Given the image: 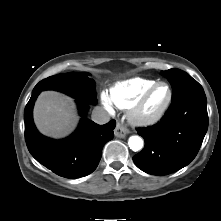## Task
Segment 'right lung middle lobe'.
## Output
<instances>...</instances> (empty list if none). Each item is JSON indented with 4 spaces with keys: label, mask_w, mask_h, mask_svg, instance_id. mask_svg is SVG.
<instances>
[{
    "label": "right lung middle lobe",
    "mask_w": 221,
    "mask_h": 221,
    "mask_svg": "<svg viewBox=\"0 0 221 221\" xmlns=\"http://www.w3.org/2000/svg\"><path fill=\"white\" fill-rule=\"evenodd\" d=\"M88 73L69 72L50 76L40 81L33 91L57 90L66 93L77 100L96 103L95 84Z\"/></svg>",
    "instance_id": "dd1d6c3e"
}]
</instances>
